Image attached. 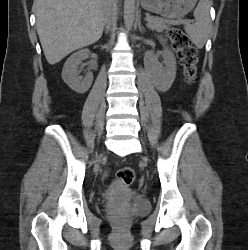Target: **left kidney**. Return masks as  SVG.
I'll return each mask as SVG.
<instances>
[{"label": "left kidney", "instance_id": "left-kidney-1", "mask_svg": "<svg viewBox=\"0 0 248 250\" xmlns=\"http://www.w3.org/2000/svg\"><path fill=\"white\" fill-rule=\"evenodd\" d=\"M160 42L164 46L163 59L166 67L159 66L154 70V85L158 90H166L171 86L176 76V59L166 46L165 41L160 39Z\"/></svg>", "mask_w": 248, "mask_h": 250}]
</instances>
